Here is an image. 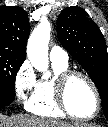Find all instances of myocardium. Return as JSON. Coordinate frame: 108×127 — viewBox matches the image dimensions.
I'll return each instance as SVG.
<instances>
[{"instance_id": "f54148a6", "label": "myocardium", "mask_w": 108, "mask_h": 127, "mask_svg": "<svg viewBox=\"0 0 108 127\" xmlns=\"http://www.w3.org/2000/svg\"><path fill=\"white\" fill-rule=\"evenodd\" d=\"M82 78L84 81L88 83V85L91 87V89L94 92L95 98H96V108L92 115L87 117L78 116L75 114L68 106L67 103V90L71 83V81L74 78ZM55 93H56V101L59 106V108L68 116L80 120V121H89L94 119L101 108V96L99 93V90L95 84V82L89 77L87 74L81 71L77 70H67L60 75L57 76L55 80Z\"/></svg>"}]
</instances>
